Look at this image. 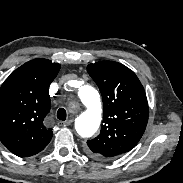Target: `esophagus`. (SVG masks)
Returning a JSON list of instances; mask_svg holds the SVG:
<instances>
[{"label": "esophagus", "mask_w": 183, "mask_h": 183, "mask_svg": "<svg viewBox=\"0 0 183 183\" xmlns=\"http://www.w3.org/2000/svg\"><path fill=\"white\" fill-rule=\"evenodd\" d=\"M72 122H73V120L60 121V122H59V125H60L61 127H68V126L71 125Z\"/></svg>", "instance_id": "esophagus-1"}]
</instances>
